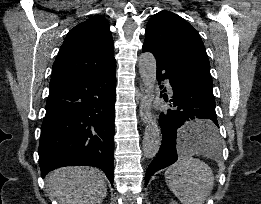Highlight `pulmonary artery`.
Here are the masks:
<instances>
[{"instance_id":"e3ab8cb5","label":"pulmonary artery","mask_w":261,"mask_h":204,"mask_svg":"<svg viewBox=\"0 0 261 204\" xmlns=\"http://www.w3.org/2000/svg\"><path fill=\"white\" fill-rule=\"evenodd\" d=\"M165 84H166V86H167L169 92H171V91H172V88H171V85H170V82H169L168 79L165 80Z\"/></svg>"}]
</instances>
